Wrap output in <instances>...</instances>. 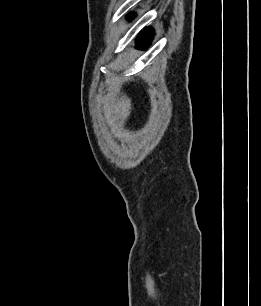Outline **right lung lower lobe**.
<instances>
[{"label": "right lung lower lobe", "mask_w": 261, "mask_h": 306, "mask_svg": "<svg viewBox=\"0 0 261 306\" xmlns=\"http://www.w3.org/2000/svg\"><path fill=\"white\" fill-rule=\"evenodd\" d=\"M152 34H153V31L152 29L148 28V29H145L139 36L138 38V44L141 46V47H148V45L150 44V41H151V38H152Z\"/></svg>", "instance_id": "right-lung-lower-lobe-1"}]
</instances>
